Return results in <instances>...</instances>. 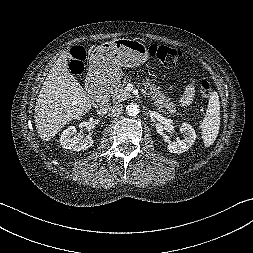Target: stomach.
Here are the masks:
<instances>
[{"mask_svg":"<svg viewBox=\"0 0 253 253\" xmlns=\"http://www.w3.org/2000/svg\"><path fill=\"white\" fill-rule=\"evenodd\" d=\"M148 59L147 46L135 39H114L95 49L90 58L91 76L118 79L120 67H135Z\"/></svg>","mask_w":253,"mask_h":253,"instance_id":"1","label":"stomach"}]
</instances>
